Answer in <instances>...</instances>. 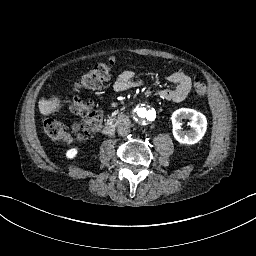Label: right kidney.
I'll use <instances>...</instances> for the list:
<instances>
[{"label":"right kidney","mask_w":256,"mask_h":256,"mask_svg":"<svg viewBox=\"0 0 256 256\" xmlns=\"http://www.w3.org/2000/svg\"><path fill=\"white\" fill-rule=\"evenodd\" d=\"M78 148H70L68 149L66 152H65V157L68 159V160H72V159H75L78 155Z\"/></svg>","instance_id":"1"}]
</instances>
